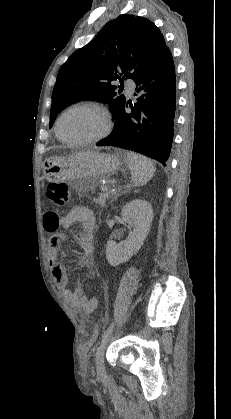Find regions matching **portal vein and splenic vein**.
Listing matches in <instances>:
<instances>
[{"mask_svg": "<svg viewBox=\"0 0 231 419\" xmlns=\"http://www.w3.org/2000/svg\"><path fill=\"white\" fill-rule=\"evenodd\" d=\"M103 189H104V190H108V187H104Z\"/></svg>", "mask_w": 231, "mask_h": 419, "instance_id": "18ae733b", "label": "portal vein and splenic vein"}]
</instances>
